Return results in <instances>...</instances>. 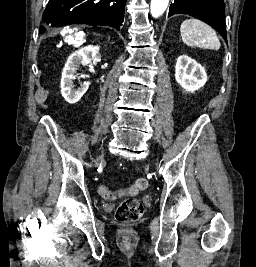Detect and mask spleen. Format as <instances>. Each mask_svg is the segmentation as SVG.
<instances>
[{"mask_svg":"<svg viewBox=\"0 0 256 267\" xmlns=\"http://www.w3.org/2000/svg\"><path fill=\"white\" fill-rule=\"evenodd\" d=\"M182 42L191 48L203 50H219L221 44L213 28L200 22V20H184L180 26Z\"/></svg>","mask_w":256,"mask_h":267,"instance_id":"spleen-1","label":"spleen"}]
</instances>
